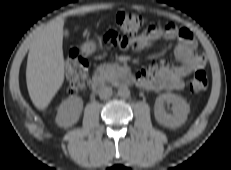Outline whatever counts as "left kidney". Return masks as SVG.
I'll use <instances>...</instances> for the list:
<instances>
[{"label": "left kidney", "mask_w": 231, "mask_h": 170, "mask_svg": "<svg viewBox=\"0 0 231 170\" xmlns=\"http://www.w3.org/2000/svg\"><path fill=\"white\" fill-rule=\"evenodd\" d=\"M164 103L172 104L173 114L166 113ZM190 112V106L186 100L176 94H161L156 98L154 115L158 123L175 128L181 126L187 119Z\"/></svg>", "instance_id": "1"}]
</instances>
